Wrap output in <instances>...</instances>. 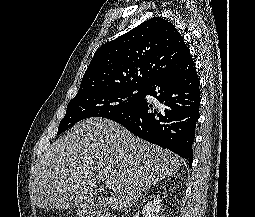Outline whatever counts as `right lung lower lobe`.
Returning <instances> with one entry per match:
<instances>
[{
    "label": "right lung lower lobe",
    "instance_id": "1",
    "mask_svg": "<svg viewBox=\"0 0 255 217\" xmlns=\"http://www.w3.org/2000/svg\"><path fill=\"white\" fill-rule=\"evenodd\" d=\"M199 78L193 59L177 70L151 82L143 99L131 109L108 117L134 135L193 161L192 144L198 121ZM146 95L155 97L157 108L148 104Z\"/></svg>",
    "mask_w": 255,
    "mask_h": 217
}]
</instances>
